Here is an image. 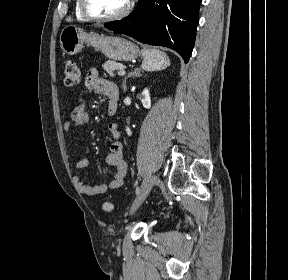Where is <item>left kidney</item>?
Wrapping results in <instances>:
<instances>
[{"label": "left kidney", "mask_w": 288, "mask_h": 280, "mask_svg": "<svg viewBox=\"0 0 288 280\" xmlns=\"http://www.w3.org/2000/svg\"><path fill=\"white\" fill-rule=\"evenodd\" d=\"M142 105L144 108L149 109L151 107V98L150 93L147 88H145L142 92V99H141ZM127 134L130 136L132 134L129 127L126 128Z\"/></svg>", "instance_id": "1"}]
</instances>
